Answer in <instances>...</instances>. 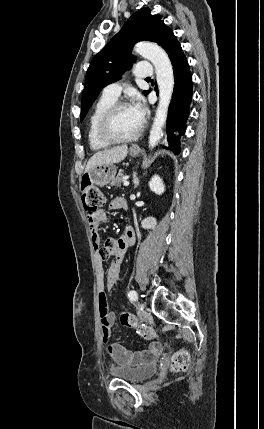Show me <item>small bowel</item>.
<instances>
[{"instance_id": "obj_1", "label": "small bowel", "mask_w": 264, "mask_h": 429, "mask_svg": "<svg viewBox=\"0 0 264 429\" xmlns=\"http://www.w3.org/2000/svg\"><path fill=\"white\" fill-rule=\"evenodd\" d=\"M123 204H126L125 200L121 197H116L111 200L109 207L112 210H119L123 209ZM88 220L97 265L96 275L99 293V313L105 350L111 360L120 368L148 364L154 361L160 353V344L150 343L144 350L131 351L118 343L110 341L111 328L115 324L116 316L108 307L106 289H112L119 280L120 269L126 251L130 246L134 245L136 241L135 231L132 227H126L118 238H107L102 245L98 228L100 224L107 221L106 213L100 211L96 217L89 218ZM109 256H113L114 260L107 270L106 281H104L102 262Z\"/></svg>"}]
</instances>
